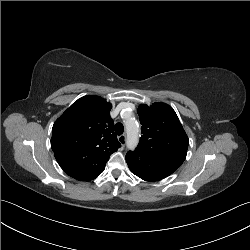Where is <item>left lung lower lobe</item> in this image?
Listing matches in <instances>:
<instances>
[{"mask_svg": "<svg viewBox=\"0 0 250 250\" xmlns=\"http://www.w3.org/2000/svg\"><path fill=\"white\" fill-rule=\"evenodd\" d=\"M134 161H129L128 166L131 172L145 181H157L161 180L170 174L171 172L161 169L153 164V162L144 156L137 157L135 155Z\"/></svg>", "mask_w": 250, "mask_h": 250, "instance_id": "obj_1", "label": "left lung lower lobe"}]
</instances>
